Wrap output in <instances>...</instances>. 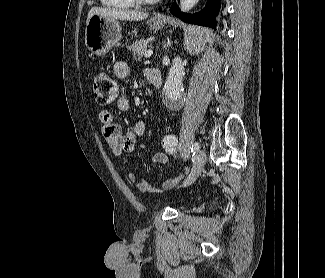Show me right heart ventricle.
I'll list each match as a JSON object with an SVG mask.
<instances>
[{
  "instance_id": "e07e8e85",
  "label": "right heart ventricle",
  "mask_w": 325,
  "mask_h": 278,
  "mask_svg": "<svg viewBox=\"0 0 325 278\" xmlns=\"http://www.w3.org/2000/svg\"><path fill=\"white\" fill-rule=\"evenodd\" d=\"M102 5L112 9H129L134 6L132 0H100Z\"/></svg>"
}]
</instances>
